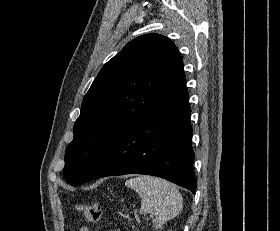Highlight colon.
<instances>
[{
    "instance_id": "5ec220e1",
    "label": "colon",
    "mask_w": 280,
    "mask_h": 231,
    "mask_svg": "<svg viewBox=\"0 0 280 231\" xmlns=\"http://www.w3.org/2000/svg\"><path fill=\"white\" fill-rule=\"evenodd\" d=\"M76 208L86 216L91 224L94 225L97 224L103 216L102 208L98 203H77Z\"/></svg>"
}]
</instances>
